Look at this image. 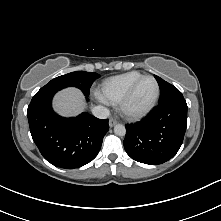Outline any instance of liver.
I'll return each mask as SVG.
<instances>
[{"label": "liver", "instance_id": "1", "mask_svg": "<svg viewBox=\"0 0 221 221\" xmlns=\"http://www.w3.org/2000/svg\"><path fill=\"white\" fill-rule=\"evenodd\" d=\"M53 107L62 116L76 115L84 108L83 94L76 88L64 89L56 94Z\"/></svg>", "mask_w": 221, "mask_h": 221}]
</instances>
